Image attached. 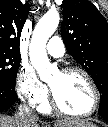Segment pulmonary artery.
Returning a JSON list of instances; mask_svg holds the SVG:
<instances>
[{
    "label": "pulmonary artery",
    "instance_id": "e3ab8cb5",
    "mask_svg": "<svg viewBox=\"0 0 108 127\" xmlns=\"http://www.w3.org/2000/svg\"><path fill=\"white\" fill-rule=\"evenodd\" d=\"M46 50L53 57L59 58L63 56L65 48L61 38L58 36L52 37L46 46Z\"/></svg>",
    "mask_w": 108,
    "mask_h": 127
}]
</instances>
